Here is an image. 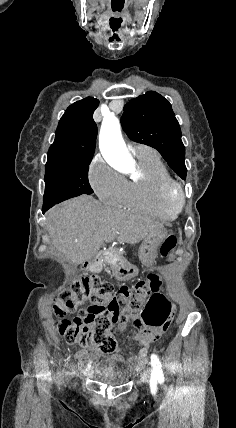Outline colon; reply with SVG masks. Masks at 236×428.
<instances>
[{"label": "colon", "mask_w": 236, "mask_h": 428, "mask_svg": "<svg viewBox=\"0 0 236 428\" xmlns=\"http://www.w3.org/2000/svg\"><path fill=\"white\" fill-rule=\"evenodd\" d=\"M177 244L169 235L160 247L163 257H168ZM160 278L149 275L134 286H121L118 290L108 283L82 277L70 289L62 291L54 306L56 315L78 312L74 319H61L59 333L69 344H77L92 352L111 353L117 341L114 325L130 324L138 329L165 331L173 318L174 308L160 294ZM149 300L143 306L144 300ZM141 311L140 319L136 313Z\"/></svg>", "instance_id": "obj_1"}]
</instances>
